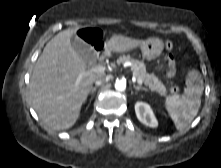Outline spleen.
Instances as JSON below:
<instances>
[{
	"label": "spleen",
	"mask_w": 221,
	"mask_h": 168,
	"mask_svg": "<svg viewBox=\"0 0 221 168\" xmlns=\"http://www.w3.org/2000/svg\"><path fill=\"white\" fill-rule=\"evenodd\" d=\"M184 95H173L166 99L165 108L173 120L176 129L186 128L197 115L203 93V79L196 69L191 70L186 77Z\"/></svg>",
	"instance_id": "3e777b00"
}]
</instances>
